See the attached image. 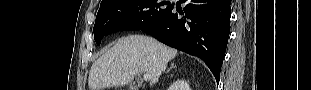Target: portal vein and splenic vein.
<instances>
[{"mask_svg":"<svg viewBox=\"0 0 311 90\" xmlns=\"http://www.w3.org/2000/svg\"><path fill=\"white\" fill-rule=\"evenodd\" d=\"M143 78H144V80H146V81H148V80L151 79V77H150L149 74H144V75H143Z\"/></svg>","mask_w":311,"mask_h":90,"instance_id":"18ae733b","label":"portal vein and splenic vein"}]
</instances>
